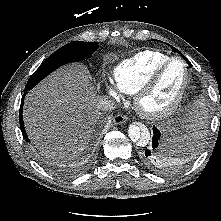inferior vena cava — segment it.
I'll list each match as a JSON object with an SVG mask.
<instances>
[{
    "instance_id": "602c4592",
    "label": "inferior vena cava",
    "mask_w": 221,
    "mask_h": 221,
    "mask_svg": "<svg viewBox=\"0 0 221 221\" xmlns=\"http://www.w3.org/2000/svg\"><path fill=\"white\" fill-rule=\"evenodd\" d=\"M115 108V103L112 99H109L108 97H102L97 102V109L107 112L111 111Z\"/></svg>"
}]
</instances>
